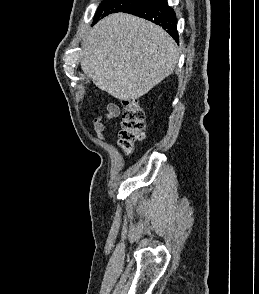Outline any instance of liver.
<instances>
[{
	"label": "liver",
	"mask_w": 259,
	"mask_h": 294,
	"mask_svg": "<svg viewBox=\"0 0 259 294\" xmlns=\"http://www.w3.org/2000/svg\"><path fill=\"white\" fill-rule=\"evenodd\" d=\"M82 48L83 72L99 89L123 101L148 93L173 73L179 58L166 31L126 13L101 19Z\"/></svg>",
	"instance_id": "obj_1"
}]
</instances>
